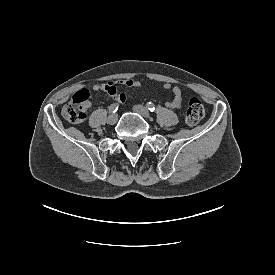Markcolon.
I'll list each match as a JSON object with an SVG mask.
<instances>
[{"mask_svg": "<svg viewBox=\"0 0 275 275\" xmlns=\"http://www.w3.org/2000/svg\"><path fill=\"white\" fill-rule=\"evenodd\" d=\"M88 104L89 92L86 89L79 90L73 95L71 100L63 106L62 115L71 123H81L86 118ZM204 113L205 109L201 101L197 98H192L185 112V122L189 126H193L200 122Z\"/></svg>", "mask_w": 275, "mask_h": 275, "instance_id": "obj_1", "label": "colon"}]
</instances>
